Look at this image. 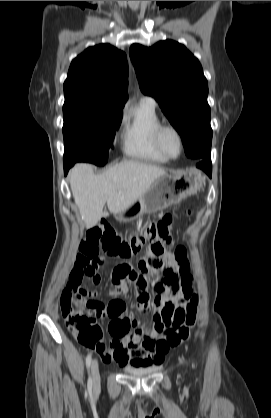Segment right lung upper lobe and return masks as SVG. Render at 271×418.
Listing matches in <instances>:
<instances>
[{
	"mask_svg": "<svg viewBox=\"0 0 271 418\" xmlns=\"http://www.w3.org/2000/svg\"><path fill=\"white\" fill-rule=\"evenodd\" d=\"M128 65L124 52L101 44L71 63L64 82L65 103L122 110L127 100Z\"/></svg>",
	"mask_w": 271,
	"mask_h": 418,
	"instance_id": "cb5924a9",
	"label": "right lung upper lobe"
}]
</instances>
